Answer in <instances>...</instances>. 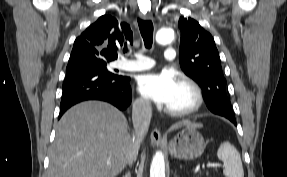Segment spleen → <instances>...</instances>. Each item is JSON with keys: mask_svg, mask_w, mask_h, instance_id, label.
I'll return each mask as SVG.
<instances>
[{"mask_svg": "<svg viewBox=\"0 0 287 177\" xmlns=\"http://www.w3.org/2000/svg\"><path fill=\"white\" fill-rule=\"evenodd\" d=\"M217 157L224 163L223 174L226 177H244L240 154L232 144L223 142L217 151Z\"/></svg>", "mask_w": 287, "mask_h": 177, "instance_id": "1", "label": "spleen"}]
</instances>
